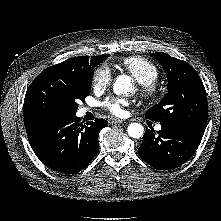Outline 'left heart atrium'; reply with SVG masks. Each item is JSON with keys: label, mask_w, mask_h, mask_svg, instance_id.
Here are the masks:
<instances>
[{"label": "left heart atrium", "mask_w": 221, "mask_h": 221, "mask_svg": "<svg viewBox=\"0 0 221 221\" xmlns=\"http://www.w3.org/2000/svg\"><path fill=\"white\" fill-rule=\"evenodd\" d=\"M102 105L112 115L122 117L126 113L125 107L128 105V103L123 99L108 98L103 102Z\"/></svg>", "instance_id": "obj_1"}]
</instances>
